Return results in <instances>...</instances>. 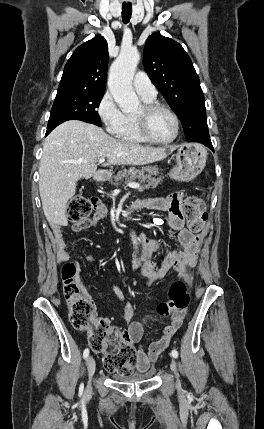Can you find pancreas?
Returning <instances> with one entry per match:
<instances>
[{
  "mask_svg": "<svg viewBox=\"0 0 264 429\" xmlns=\"http://www.w3.org/2000/svg\"><path fill=\"white\" fill-rule=\"evenodd\" d=\"M122 178H125L129 182H134L135 180H138L142 185L139 190H146L150 187L156 188L159 184L162 182V176L155 178L151 177L149 175H144L142 171L138 170H123L118 172V174L114 177L115 181H120ZM112 183V180H110Z\"/></svg>",
  "mask_w": 264,
  "mask_h": 429,
  "instance_id": "1",
  "label": "pancreas"
}]
</instances>
